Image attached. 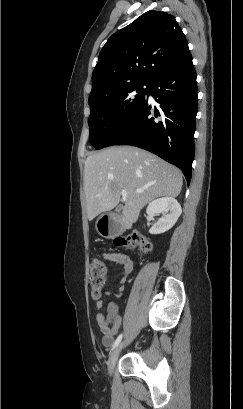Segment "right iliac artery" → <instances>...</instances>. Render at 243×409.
I'll return each mask as SVG.
<instances>
[{
    "label": "right iliac artery",
    "instance_id": "1",
    "mask_svg": "<svg viewBox=\"0 0 243 409\" xmlns=\"http://www.w3.org/2000/svg\"><path fill=\"white\" fill-rule=\"evenodd\" d=\"M121 339H122V334H120V335L117 337V339L115 340V342H114V344H113V347H112V350L115 349V348L119 345Z\"/></svg>",
    "mask_w": 243,
    "mask_h": 409
}]
</instances>
